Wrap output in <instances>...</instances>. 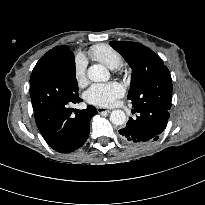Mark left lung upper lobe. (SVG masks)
<instances>
[{"instance_id": "obj_1", "label": "left lung upper lobe", "mask_w": 205, "mask_h": 205, "mask_svg": "<svg viewBox=\"0 0 205 205\" xmlns=\"http://www.w3.org/2000/svg\"><path fill=\"white\" fill-rule=\"evenodd\" d=\"M132 68L128 99L133 108L157 107L170 110L172 81L168 68L152 50L137 42L111 41Z\"/></svg>"}]
</instances>
